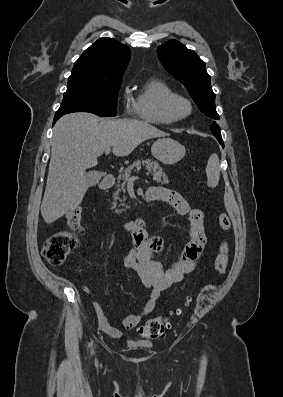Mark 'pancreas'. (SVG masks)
<instances>
[{
    "instance_id": "obj_1",
    "label": "pancreas",
    "mask_w": 283,
    "mask_h": 397,
    "mask_svg": "<svg viewBox=\"0 0 283 397\" xmlns=\"http://www.w3.org/2000/svg\"><path fill=\"white\" fill-rule=\"evenodd\" d=\"M141 166H145L147 173L153 176V180L157 181L160 184H168V176L165 174L163 169L160 167L159 163L153 161L151 159H141L137 160L133 164L129 165L128 168L124 171V173L119 174L117 180V190L114 193L116 199H118L121 191L125 192V184L127 183L130 173L134 168H140ZM123 200H126V197L123 196ZM122 210H116V213H121Z\"/></svg>"
}]
</instances>
